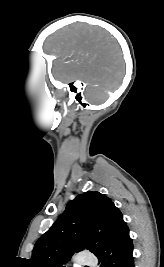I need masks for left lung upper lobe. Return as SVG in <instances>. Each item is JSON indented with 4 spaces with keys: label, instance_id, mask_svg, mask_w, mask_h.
Instances as JSON below:
<instances>
[{
    "label": "left lung upper lobe",
    "instance_id": "left-lung-upper-lobe-1",
    "mask_svg": "<svg viewBox=\"0 0 164 267\" xmlns=\"http://www.w3.org/2000/svg\"><path fill=\"white\" fill-rule=\"evenodd\" d=\"M124 223L122 213L104 194H80L38 239L29 264L31 267H65L63 264L75 252L88 249L96 255Z\"/></svg>",
    "mask_w": 164,
    "mask_h": 267
}]
</instances>
